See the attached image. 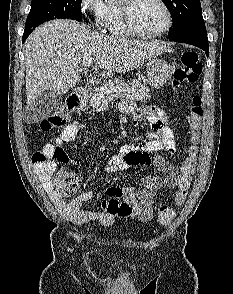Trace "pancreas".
I'll return each instance as SVG.
<instances>
[{
  "instance_id": "pancreas-1",
  "label": "pancreas",
  "mask_w": 233,
  "mask_h": 294,
  "mask_svg": "<svg viewBox=\"0 0 233 294\" xmlns=\"http://www.w3.org/2000/svg\"><path fill=\"white\" fill-rule=\"evenodd\" d=\"M117 91V93L115 92ZM128 98L131 100L142 101L151 97L150 89L142 84L140 80L133 79L129 83H125L123 80L118 79L111 81L110 83L95 90L90 95V106L92 108H98L105 102H111L115 98ZM88 100L81 102L79 110L85 111L87 108Z\"/></svg>"
}]
</instances>
